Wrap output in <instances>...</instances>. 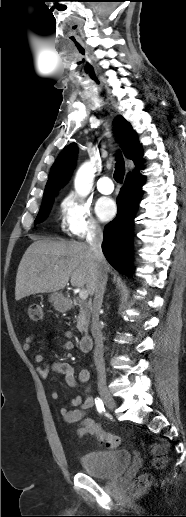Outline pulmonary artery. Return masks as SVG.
Listing matches in <instances>:
<instances>
[{"mask_svg": "<svg viewBox=\"0 0 186 517\" xmlns=\"http://www.w3.org/2000/svg\"><path fill=\"white\" fill-rule=\"evenodd\" d=\"M97 189L102 194H111L114 190L111 178L109 176H102L98 180Z\"/></svg>", "mask_w": 186, "mask_h": 517, "instance_id": "e3ab8cb5", "label": "pulmonary artery"}]
</instances>
